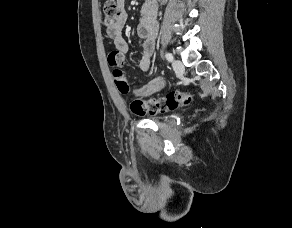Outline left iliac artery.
<instances>
[{
  "instance_id": "44dca946",
  "label": "left iliac artery",
  "mask_w": 292,
  "mask_h": 228,
  "mask_svg": "<svg viewBox=\"0 0 292 228\" xmlns=\"http://www.w3.org/2000/svg\"><path fill=\"white\" fill-rule=\"evenodd\" d=\"M165 57H166V59L168 60V61H173V55L171 54V53H169V52H167L166 54H165Z\"/></svg>"
}]
</instances>
